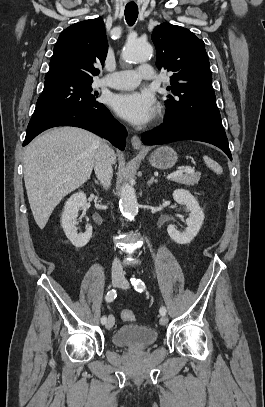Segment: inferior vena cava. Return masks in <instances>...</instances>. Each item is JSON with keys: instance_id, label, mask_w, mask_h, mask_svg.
Here are the masks:
<instances>
[{"instance_id": "602c4592", "label": "inferior vena cava", "mask_w": 265, "mask_h": 407, "mask_svg": "<svg viewBox=\"0 0 265 407\" xmlns=\"http://www.w3.org/2000/svg\"><path fill=\"white\" fill-rule=\"evenodd\" d=\"M114 151L105 145L98 153L94 170L97 178L104 188H109L113 175L112 164L114 162ZM112 277L124 278V272L120 261L116 258L112 263Z\"/></svg>"}]
</instances>
